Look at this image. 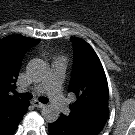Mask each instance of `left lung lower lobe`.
<instances>
[{"instance_id":"obj_1","label":"left lung lower lobe","mask_w":135,"mask_h":135,"mask_svg":"<svg viewBox=\"0 0 135 135\" xmlns=\"http://www.w3.org/2000/svg\"><path fill=\"white\" fill-rule=\"evenodd\" d=\"M49 135H85L80 131L69 127L66 123L57 120L48 125Z\"/></svg>"}]
</instances>
